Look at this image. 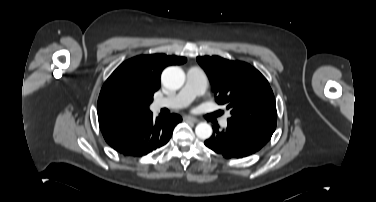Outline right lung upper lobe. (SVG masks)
Returning a JSON list of instances; mask_svg holds the SVG:
<instances>
[{
	"label": "right lung upper lobe",
	"mask_w": 376,
	"mask_h": 202,
	"mask_svg": "<svg viewBox=\"0 0 376 202\" xmlns=\"http://www.w3.org/2000/svg\"><path fill=\"white\" fill-rule=\"evenodd\" d=\"M186 58L165 54L140 55L123 62L104 83L98 99L101 130L150 112L153 94L160 87L162 70Z\"/></svg>",
	"instance_id": "right-lung-upper-lobe-1"
}]
</instances>
